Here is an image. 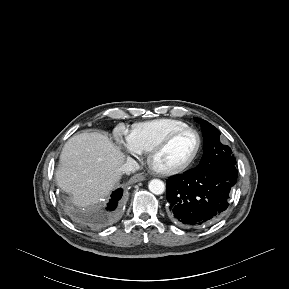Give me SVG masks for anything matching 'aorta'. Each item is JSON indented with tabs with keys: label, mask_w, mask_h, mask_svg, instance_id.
Returning <instances> with one entry per match:
<instances>
[{
	"label": "aorta",
	"mask_w": 289,
	"mask_h": 289,
	"mask_svg": "<svg viewBox=\"0 0 289 289\" xmlns=\"http://www.w3.org/2000/svg\"><path fill=\"white\" fill-rule=\"evenodd\" d=\"M148 188L153 194L160 195L165 191V184L159 179H152L148 184Z\"/></svg>",
	"instance_id": "762f6f07"
}]
</instances>
